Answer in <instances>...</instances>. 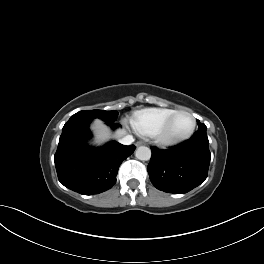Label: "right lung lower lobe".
I'll list each match as a JSON object with an SVG mask.
<instances>
[{
	"instance_id": "1",
	"label": "right lung lower lobe",
	"mask_w": 264,
	"mask_h": 264,
	"mask_svg": "<svg viewBox=\"0 0 264 264\" xmlns=\"http://www.w3.org/2000/svg\"><path fill=\"white\" fill-rule=\"evenodd\" d=\"M92 119L70 118L62 129L54 156L59 181L67 188L83 195L102 193L116 183L120 164L131 155L134 145L125 146L115 141L94 148L86 141L92 137ZM112 129L119 126L106 122Z\"/></svg>"
}]
</instances>
